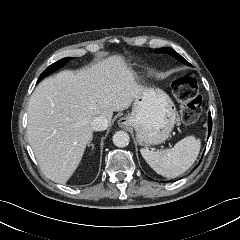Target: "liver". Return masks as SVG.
Here are the masks:
<instances>
[{
  "label": "liver",
  "mask_w": 240,
  "mask_h": 240,
  "mask_svg": "<svg viewBox=\"0 0 240 240\" xmlns=\"http://www.w3.org/2000/svg\"><path fill=\"white\" fill-rule=\"evenodd\" d=\"M142 86L120 55L43 80L28 104L27 136L42 172L65 184L92 140L91 121L128 109Z\"/></svg>",
  "instance_id": "1"
}]
</instances>
